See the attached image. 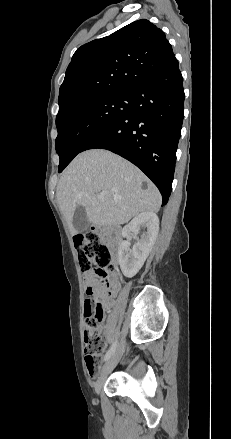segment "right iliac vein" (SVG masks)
<instances>
[{
  "label": "right iliac vein",
  "instance_id": "obj_1",
  "mask_svg": "<svg viewBox=\"0 0 231 439\" xmlns=\"http://www.w3.org/2000/svg\"><path fill=\"white\" fill-rule=\"evenodd\" d=\"M124 352V343H122L117 350L112 354V356L108 359V361L104 364L101 373H100V377L98 378V380L95 383V391L96 393H100L103 383L107 377V375L115 368V366L117 365V363L119 362L122 354Z\"/></svg>",
  "mask_w": 231,
  "mask_h": 439
}]
</instances>
